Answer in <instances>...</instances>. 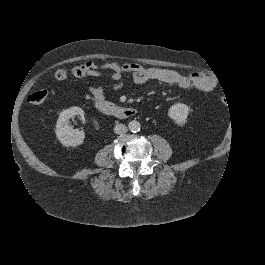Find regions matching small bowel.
Segmentation results:
<instances>
[{
	"instance_id": "small-bowel-1",
	"label": "small bowel",
	"mask_w": 265,
	"mask_h": 265,
	"mask_svg": "<svg viewBox=\"0 0 265 265\" xmlns=\"http://www.w3.org/2000/svg\"><path fill=\"white\" fill-rule=\"evenodd\" d=\"M87 75L90 77H98L106 75L110 77L111 82H104L98 85L89 84L84 92L86 99L94 102L105 100V89L111 87L113 90H120L124 86V77L127 73L132 74L133 82L142 85L150 81H158L166 84L177 85L182 89L189 90L196 88L203 92H210L214 89V81L201 73H191L183 75L175 70L163 68H145L135 62L123 63H103L96 64L87 62Z\"/></svg>"
}]
</instances>
